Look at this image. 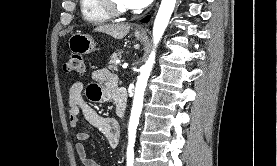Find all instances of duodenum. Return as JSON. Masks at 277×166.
<instances>
[{
  "label": "duodenum",
  "instance_id": "obj_1",
  "mask_svg": "<svg viewBox=\"0 0 277 166\" xmlns=\"http://www.w3.org/2000/svg\"><path fill=\"white\" fill-rule=\"evenodd\" d=\"M115 103L117 106L118 114L120 117H124L126 105H127V95L123 90H118L115 96Z\"/></svg>",
  "mask_w": 277,
  "mask_h": 166
}]
</instances>
